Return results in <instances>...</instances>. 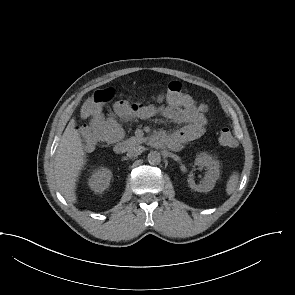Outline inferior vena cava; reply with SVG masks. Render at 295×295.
<instances>
[{
  "instance_id": "inferior-vena-cava-1",
  "label": "inferior vena cava",
  "mask_w": 295,
  "mask_h": 295,
  "mask_svg": "<svg viewBox=\"0 0 295 295\" xmlns=\"http://www.w3.org/2000/svg\"><path fill=\"white\" fill-rule=\"evenodd\" d=\"M144 149L145 148L143 146H134V147H131L128 150L127 155L129 157H137L138 155H140L144 151Z\"/></svg>"
}]
</instances>
